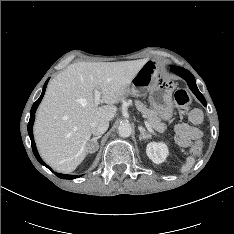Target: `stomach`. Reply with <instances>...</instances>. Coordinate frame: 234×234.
Segmentation results:
<instances>
[{
	"label": "stomach",
	"mask_w": 234,
	"mask_h": 234,
	"mask_svg": "<svg viewBox=\"0 0 234 234\" xmlns=\"http://www.w3.org/2000/svg\"><path fill=\"white\" fill-rule=\"evenodd\" d=\"M174 90V81L165 76L154 61H147L130 85V92L134 96L149 94L152 108L163 120H170L173 115Z\"/></svg>",
	"instance_id": "0dacf381"
}]
</instances>
